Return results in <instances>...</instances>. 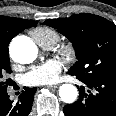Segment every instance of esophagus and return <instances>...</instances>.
I'll return each instance as SVG.
<instances>
[{
  "label": "esophagus",
  "mask_w": 116,
  "mask_h": 116,
  "mask_svg": "<svg viewBox=\"0 0 116 116\" xmlns=\"http://www.w3.org/2000/svg\"><path fill=\"white\" fill-rule=\"evenodd\" d=\"M47 87L50 88V89H56V88L59 87V85L58 84H56V85H49Z\"/></svg>",
  "instance_id": "obj_1"
}]
</instances>
